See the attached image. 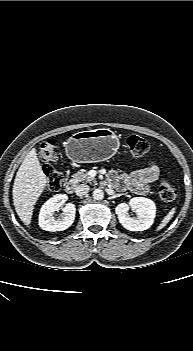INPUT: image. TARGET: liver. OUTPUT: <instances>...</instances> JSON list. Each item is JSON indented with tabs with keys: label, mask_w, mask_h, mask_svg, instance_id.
Returning <instances> with one entry per match:
<instances>
[{
	"label": "liver",
	"mask_w": 193,
	"mask_h": 351,
	"mask_svg": "<svg viewBox=\"0 0 193 351\" xmlns=\"http://www.w3.org/2000/svg\"><path fill=\"white\" fill-rule=\"evenodd\" d=\"M47 185L46 176L37 158L36 149H31L20 165L13 184V204L21 221L29 227L34 205Z\"/></svg>",
	"instance_id": "obj_1"
}]
</instances>
